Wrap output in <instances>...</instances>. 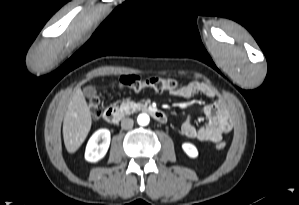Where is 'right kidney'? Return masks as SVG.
<instances>
[{"mask_svg": "<svg viewBox=\"0 0 299 205\" xmlns=\"http://www.w3.org/2000/svg\"><path fill=\"white\" fill-rule=\"evenodd\" d=\"M110 131L108 129L97 130L89 139L86 150L85 159L88 162H97L102 159L110 145Z\"/></svg>", "mask_w": 299, "mask_h": 205, "instance_id": "obj_1", "label": "right kidney"}]
</instances>
